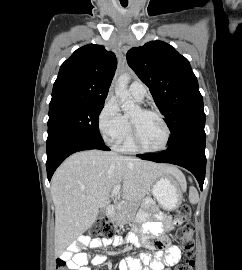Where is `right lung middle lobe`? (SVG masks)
<instances>
[{
	"label": "right lung middle lobe",
	"instance_id": "1",
	"mask_svg": "<svg viewBox=\"0 0 242 270\" xmlns=\"http://www.w3.org/2000/svg\"><path fill=\"white\" fill-rule=\"evenodd\" d=\"M104 102L62 103L49 106L47 148L67 138L104 142L98 119Z\"/></svg>",
	"mask_w": 242,
	"mask_h": 270
}]
</instances>
